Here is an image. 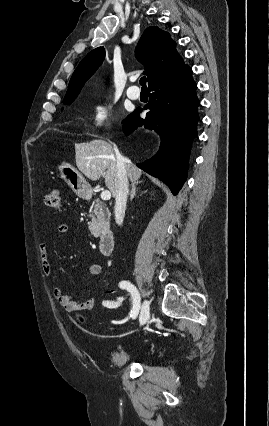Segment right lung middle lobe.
Returning a JSON list of instances; mask_svg holds the SVG:
<instances>
[{
    "label": "right lung middle lobe",
    "mask_w": 269,
    "mask_h": 426,
    "mask_svg": "<svg viewBox=\"0 0 269 426\" xmlns=\"http://www.w3.org/2000/svg\"><path fill=\"white\" fill-rule=\"evenodd\" d=\"M75 98H76V97L64 99V100H63V103H64L65 105H69V104H71V103L74 101V99H75Z\"/></svg>",
    "instance_id": "right-lung-middle-lobe-1"
}]
</instances>
